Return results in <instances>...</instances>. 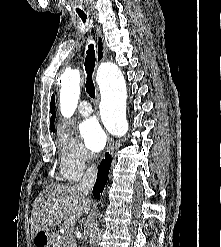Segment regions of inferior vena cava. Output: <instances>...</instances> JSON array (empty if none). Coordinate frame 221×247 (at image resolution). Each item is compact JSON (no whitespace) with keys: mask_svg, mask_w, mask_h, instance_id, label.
I'll use <instances>...</instances> for the list:
<instances>
[{"mask_svg":"<svg viewBox=\"0 0 221 247\" xmlns=\"http://www.w3.org/2000/svg\"><path fill=\"white\" fill-rule=\"evenodd\" d=\"M88 158L89 160H92L94 158V155L90 153L88 154ZM96 177H97V171L95 166L92 165L87 169L82 180L77 186V190L80 191L85 196H87L95 183Z\"/></svg>","mask_w":221,"mask_h":247,"instance_id":"1","label":"inferior vena cava"}]
</instances>
